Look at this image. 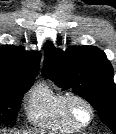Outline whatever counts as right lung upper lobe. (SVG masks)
I'll list each match as a JSON object with an SVG mask.
<instances>
[{"label":"right lung upper lobe","mask_w":116,"mask_h":134,"mask_svg":"<svg viewBox=\"0 0 116 134\" xmlns=\"http://www.w3.org/2000/svg\"><path fill=\"white\" fill-rule=\"evenodd\" d=\"M40 52L22 46L0 47V89H16L39 72Z\"/></svg>","instance_id":"obj_1"}]
</instances>
